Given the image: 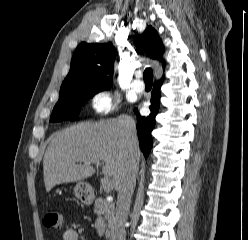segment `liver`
Segmentation results:
<instances>
[{
  "mask_svg": "<svg viewBox=\"0 0 248 240\" xmlns=\"http://www.w3.org/2000/svg\"><path fill=\"white\" fill-rule=\"evenodd\" d=\"M135 123L131 117L97 123H79L57 132L52 138L43 159L46 191L55 185L84 180L95 173L86 159L103 161L102 173L112 177L117 190L129 156L128 127ZM134 154L139 163L138 142Z\"/></svg>",
  "mask_w": 248,
  "mask_h": 240,
  "instance_id": "liver-1",
  "label": "liver"
}]
</instances>
